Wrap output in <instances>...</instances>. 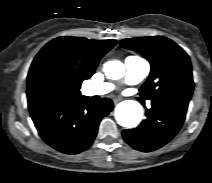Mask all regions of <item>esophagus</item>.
<instances>
[{
  "instance_id": "esophagus-1",
  "label": "esophagus",
  "mask_w": 212,
  "mask_h": 183,
  "mask_svg": "<svg viewBox=\"0 0 212 183\" xmlns=\"http://www.w3.org/2000/svg\"><path fill=\"white\" fill-rule=\"evenodd\" d=\"M113 101L115 104H117L119 102V99H114Z\"/></svg>"
}]
</instances>
